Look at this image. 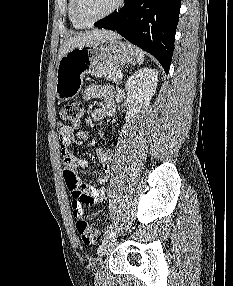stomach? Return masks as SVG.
I'll list each match as a JSON object with an SVG mask.
<instances>
[{"instance_id": "0dacf381", "label": "stomach", "mask_w": 233, "mask_h": 286, "mask_svg": "<svg viewBox=\"0 0 233 286\" xmlns=\"http://www.w3.org/2000/svg\"><path fill=\"white\" fill-rule=\"evenodd\" d=\"M136 49L119 39H106L75 48L57 63L55 92L60 100H70L80 91L85 75L108 65L134 63Z\"/></svg>"}]
</instances>
